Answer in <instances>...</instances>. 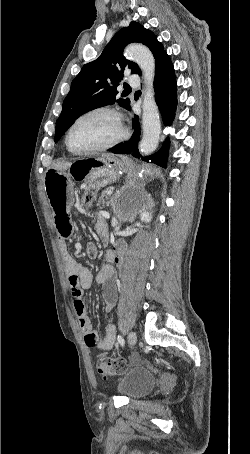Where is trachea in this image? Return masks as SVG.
Instances as JSON below:
<instances>
[{
	"instance_id": "trachea-1",
	"label": "trachea",
	"mask_w": 250,
	"mask_h": 454,
	"mask_svg": "<svg viewBox=\"0 0 250 454\" xmlns=\"http://www.w3.org/2000/svg\"><path fill=\"white\" fill-rule=\"evenodd\" d=\"M124 89H125V90H126V89H130V86L127 85V86L124 87Z\"/></svg>"
}]
</instances>
